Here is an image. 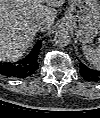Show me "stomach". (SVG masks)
Wrapping results in <instances>:
<instances>
[{"label":"stomach","mask_w":100,"mask_h":118,"mask_svg":"<svg viewBox=\"0 0 100 118\" xmlns=\"http://www.w3.org/2000/svg\"><path fill=\"white\" fill-rule=\"evenodd\" d=\"M65 24L75 31L83 44L92 43L100 30V3L98 0H71Z\"/></svg>","instance_id":"stomach-1"}]
</instances>
